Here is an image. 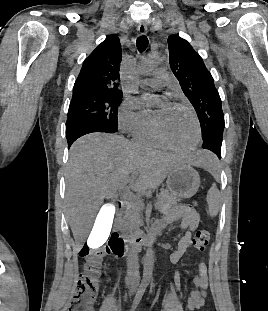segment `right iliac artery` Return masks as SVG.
I'll return each mask as SVG.
<instances>
[{"label":"right iliac artery","mask_w":268,"mask_h":311,"mask_svg":"<svg viewBox=\"0 0 268 311\" xmlns=\"http://www.w3.org/2000/svg\"><path fill=\"white\" fill-rule=\"evenodd\" d=\"M147 285H148L147 280H146V279H143V280L141 281V284H140V286H139V288H138V290H137V293H136V295H135V297H134V300H133V302H132V306H131V310H130V311H135L137 305H138L139 302L141 301V298H142V296H143V294H144V292H145V290H146Z\"/></svg>","instance_id":"82829eb1"}]
</instances>
